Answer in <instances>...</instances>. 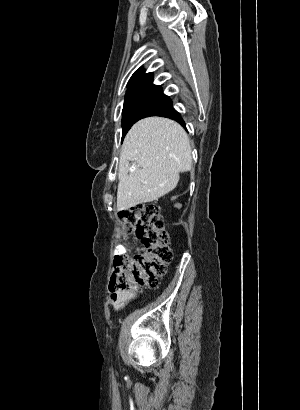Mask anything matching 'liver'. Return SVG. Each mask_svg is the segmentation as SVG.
Wrapping results in <instances>:
<instances>
[{"label":"liver","instance_id":"6515ba94","mask_svg":"<svg viewBox=\"0 0 300 410\" xmlns=\"http://www.w3.org/2000/svg\"><path fill=\"white\" fill-rule=\"evenodd\" d=\"M129 161L141 169L129 173ZM191 165L190 141L178 123L162 117L138 121L121 149L117 210L158 200L177 186L179 173Z\"/></svg>","mask_w":300,"mask_h":410}]
</instances>
